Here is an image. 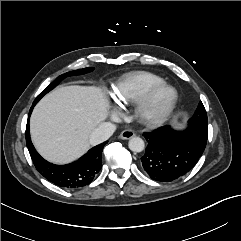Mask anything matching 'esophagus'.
I'll return each mask as SVG.
<instances>
[{
  "instance_id": "esophagus-1",
  "label": "esophagus",
  "mask_w": 241,
  "mask_h": 241,
  "mask_svg": "<svg viewBox=\"0 0 241 241\" xmlns=\"http://www.w3.org/2000/svg\"><path fill=\"white\" fill-rule=\"evenodd\" d=\"M135 136V133L134 131L130 130V129H127V130H124L120 133L119 137L123 140H128V139H131L132 137Z\"/></svg>"
}]
</instances>
